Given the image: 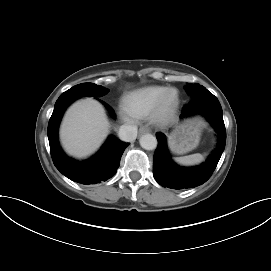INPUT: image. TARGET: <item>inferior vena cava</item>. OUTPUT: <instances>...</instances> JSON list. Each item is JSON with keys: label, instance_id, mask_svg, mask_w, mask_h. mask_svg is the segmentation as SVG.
I'll list each match as a JSON object with an SVG mask.
<instances>
[{"label": "inferior vena cava", "instance_id": "obj_1", "mask_svg": "<svg viewBox=\"0 0 271 271\" xmlns=\"http://www.w3.org/2000/svg\"><path fill=\"white\" fill-rule=\"evenodd\" d=\"M119 138L125 142H131L137 137V127L134 125H122L118 132Z\"/></svg>", "mask_w": 271, "mask_h": 271}]
</instances>
